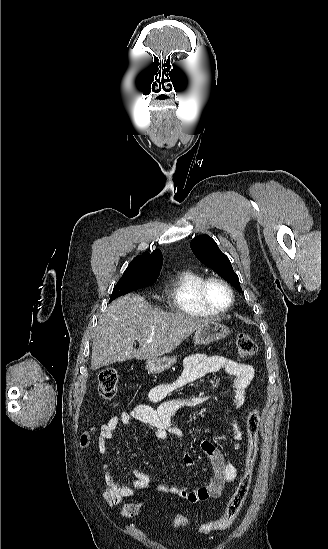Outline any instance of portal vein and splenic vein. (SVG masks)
<instances>
[{
	"instance_id": "portal-vein-and-splenic-vein-1",
	"label": "portal vein and splenic vein",
	"mask_w": 328,
	"mask_h": 549,
	"mask_svg": "<svg viewBox=\"0 0 328 549\" xmlns=\"http://www.w3.org/2000/svg\"><path fill=\"white\" fill-rule=\"evenodd\" d=\"M146 343H152V341H146Z\"/></svg>"
}]
</instances>
